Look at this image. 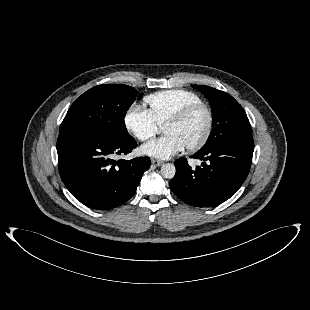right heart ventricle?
<instances>
[{
    "label": "right heart ventricle",
    "mask_w": 310,
    "mask_h": 310,
    "mask_svg": "<svg viewBox=\"0 0 310 310\" xmlns=\"http://www.w3.org/2000/svg\"><path fill=\"white\" fill-rule=\"evenodd\" d=\"M144 102L154 121L163 125L185 107L202 103V99L192 91L171 89L149 94L144 97Z\"/></svg>",
    "instance_id": "right-heart-ventricle-1"
}]
</instances>
